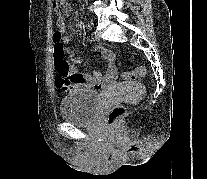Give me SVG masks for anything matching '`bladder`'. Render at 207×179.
Masks as SVG:
<instances>
[{
	"label": "bladder",
	"instance_id": "31cf9c89",
	"mask_svg": "<svg viewBox=\"0 0 207 179\" xmlns=\"http://www.w3.org/2000/svg\"><path fill=\"white\" fill-rule=\"evenodd\" d=\"M100 94L92 89H74L62 99L61 118L74 125L92 124L100 111Z\"/></svg>",
	"mask_w": 207,
	"mask_h": 179
}]
</instances>
